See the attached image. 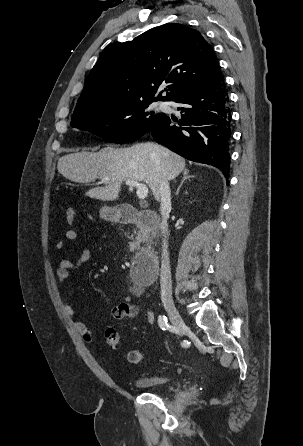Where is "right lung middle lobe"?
<instances>
[{"label":"right lung middle lobe","instance_id":"dd1d6c3e","mask_svg":"<svg viewBox=\"0 0 303 446\" xmlns=\"http://www.w3.org/2000/svg\"><path fill=\"white\" fill-rule=\"evenodd\" d=\"M151 100L107 105L74 115L71 126L96 134L106 141L126 143L148 133L163 117L162 113L147 111Z\"/></svg>","mask_w":303,"mask_h":446}]
</instances>
